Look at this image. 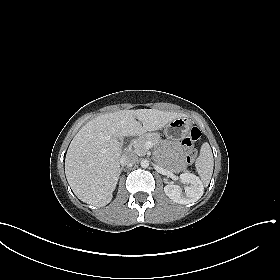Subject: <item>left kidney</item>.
<instances>
[{
    "instance_id": "1",
    "label": "left kidney",
    "mask_w": 280,
    "mask_h": 280,
    "mask_svg": "<svg viewBox=\"0 0 280 280\" xmlns=\"http://www.w3.org/2000/svg\"><path fill=\"white\" fill-rule=\"evenodd\" d=\"M181 183L185 184L184 192L178 185L168 184L164 187L165 194L174 202L179 204H191L201 198L204 186L196 175L186 172L180 174Z\"/></svg>"
}]
</instances>
